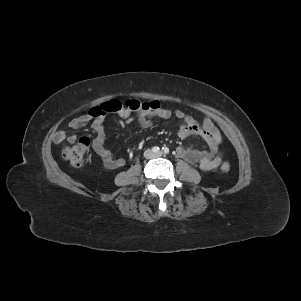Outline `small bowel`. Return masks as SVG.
Wrapping results in <instances>:
<instances>
[{
	"label": "small bowel",
	"mask_w": 301,
	"mask_h": 301,
	"mask_svg": "<svg viewBox=\"0 0 301 301\" xmlns=\"http://www.w3.org/2000/svg\"><path fill=\"white\" fill-rule=\"evenodd\" d=\"M133 112H135L134 116L132 115ZM118 116L120 118V124H130L133 121H136L143 128L150 127L155 118L171 119L172 117H175L181 122L178 129L179 138L186 139L190 136H197L203 139L208 146V150L204 151L180 146L176 149V153L180 158L186 160L190 164L197 165L203 171H214L222 162V158L218 154L222 136L209 118H206L203 123L200 124L193 117L185 114L181 110L171 112L161 105L156 109H139L135 111L125 108L118 113ZM104 120V115L95 117L88 112L73 118L69 122V127L73 130H78L92 121L91 126L95 132L92 147L100 156L106 168L116 169L121 167L124 164V161L115 158L113 153L106 147ZM75 139L76 136L74 134L68 135L64 130H59L54 135V140L57 143H62L66 140L74 141Z\"/></svg>",
	"instance_id": "1"
}]
</instances>
